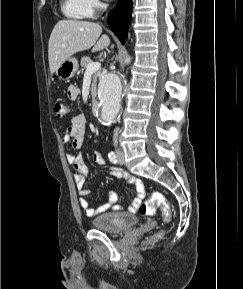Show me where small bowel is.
<instances>
[{
    "mask_svg": "<svg viewBox=\"0 0 243 289\" xmlns=\"http://www.w3.org/2000/svg\"><path fill=\"white\" fill-rule=\"evenodd\" d=\"M79 88L75 85H70L67 89V96L71 100H76L79 96ZM86 117L84 114H76L71 120L66 130V133L62 139L63 144L71 146L73 150H79L84 143L86 136ZM66 160L69 164L73 165L77 169V173L74 176L75 183L79 192V204L84 213L89 216H95L107 212L109 210L121 211L122 207L117 204L118 195L115 192L108 194L106 202L99 205L96 209L92 208L87 200V196L91 194V190L87 188L86 183L89 177V170L83 163L82 157L79 153L68 151L66 153ZM93 161L97 165H103L104 159L100 152L95 151L93 153ZM110 175L117 179L126 180L129 184L133 185L136 190V195L133 199L132 204L128 207V211L136 212L139 205L145 197L144 185L140 179L128 174L126 171L120 168H111Z\"/></svg>",
    "mask_w": 243,
    "mask_h": 289,
    "instance_id": "obj_1",
    "label": "small bowel"
}]
</instances>
